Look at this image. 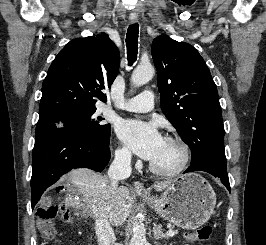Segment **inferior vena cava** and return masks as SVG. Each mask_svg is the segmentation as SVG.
I'll use <instances>...</instances> for the list:
<instances>
[{
  "label": "inferior vena cava",
  "instance_id": "1",
  "mask_svg": "<svg viewBox=\"0 0 266 245\" xmlns=\"http://www.w3.org/2000/svg\"><path fill=\"white\" fill-rule=\"evenodd\" d=\"M131 171L130 151L116 153L115 159L108 169L109 183L102 189V191L105 193L104 197H102L103 201H100V205H98L99 209L94 211V229L97 235L98 245H115V235L107 217V211H109V207L108 203H106V199L116 195L115 191L118 187V181H122V179H128V177L131 175Z\"/></svg>",
  "mask_w": 266,
  "mask_h": 245
}]
</instances>
